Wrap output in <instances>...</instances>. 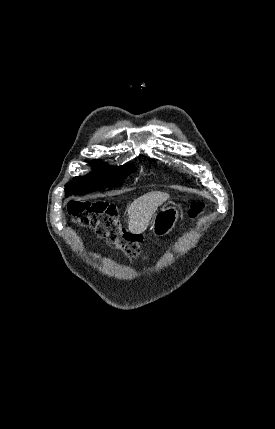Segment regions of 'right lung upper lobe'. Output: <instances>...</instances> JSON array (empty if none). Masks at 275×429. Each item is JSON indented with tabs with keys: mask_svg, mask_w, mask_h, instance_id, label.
<instances>
[{
	"mask_svg": "<svg viewBox=\"0 0 275 429\" xmlns=\"http://www.w3.org/2000/svg\"><path fill=\"white\" fill-rule=\"evenodd\" d=\"M92 164L103 167V163L101 161H94V162H92Z\"/></svg>",
	"mask_w": 275,
	"mask_h": 429,
	"instance_id": "obj_1",
	"label": "right lung upper lobe"
}]
</instances>
